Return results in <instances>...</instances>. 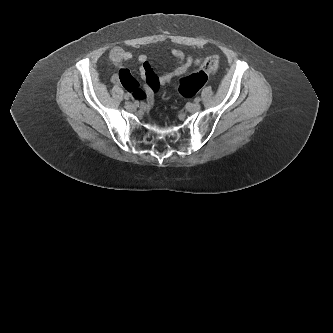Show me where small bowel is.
Here are the masks:
<instances>
[{
	"instance_id": "small-bowel-1",
	"label": "small bowel",
	"mask_w": 333,
	"mask_h": 333,
	"mask_svg": "<svg viewBox=\"0 0 333 333\" xmlns=\"http://www.w3.org/2000/svg\"><path fill=\"white\" fill-rule=\"evenodd\" d=\"M170 54L178 61V64L172 71L160 75L155 73L146 55L138 56L139 74L144 81V90H140V82L132 77L130 71L124 65L125 62L133 58L132 53L121 47H113L109 51V58L116 66L117 72L113 75L112 82L123 84L129 94H133L138 99H144V105L147 108L153 103L154 96L161 87L169 85L176 78L186 75L191 65L199 63V60L186 55L180 49L173 48Z\"/></svg>"
}]
</instances>
